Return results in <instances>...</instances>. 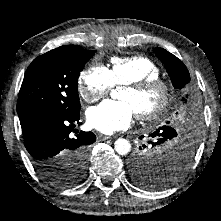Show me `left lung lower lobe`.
I'll use <instances>...</instances> for the list:
<instances>
[{"label":"left lung lower lobe","instance_id":"obj_1","mask_svg":"<svg viewBox=\"0 0 221 221\" xmlns=\"http://www.w3.org/2000/svg\"><path fill=\"white\" fill-rule=\"evenodd\" d=\"M199 128H200V125L198 123V120H194L192 123H190V132L191 133H197ZM159 134L162 135L164 138L175 137V134L177 135L176 131L170 127H164L159 132ZM184 151L186 152L187 158L190 159L192 156V153H193V145L187 146L186 149H184ZM131 161H134V159H132ZM129 163H130V161H129Z\"/></svg>","mask_w":221,"mask_h":221}]
</instances>
